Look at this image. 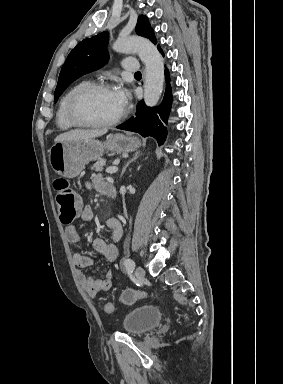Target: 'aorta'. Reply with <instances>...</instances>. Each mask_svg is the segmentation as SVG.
<instances>
[{"mask_svg":"<svg viewBox=\"0 0 283 384\" xmlns=\"http://www.w3.org/2000/svg\"><path fill=\"white\" fill-rule=\"evenodd\" d=\"M113 49L119 53H137L145 64L144 101L147 106H155L164 85V61L156 46L149 40L130 36L119 38Z\"/></svg>","mask_w":283,"mask_h":384,"instance_id":"obj_1","label":"aorta"}]
</instances>
